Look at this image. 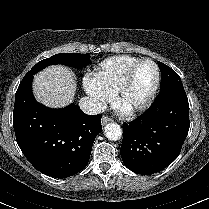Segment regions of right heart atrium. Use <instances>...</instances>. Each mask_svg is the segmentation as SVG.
<instances>
[{"mask_svg": "<svg viewBox=\"0 0 209 209\" xmlns=\"http://www.w3.org/2000/svg\"><path fill=\"white\" fill-rule=\"evenodd\" d=\"M83 87L99 108L103 107L112 99V95L105 91L93 78H85L83 81Z\"/></svg>", "mask_w": 209, "mask_h": 209, "instance_id": "1", "label": "right heart atrium"}]
</instances>
